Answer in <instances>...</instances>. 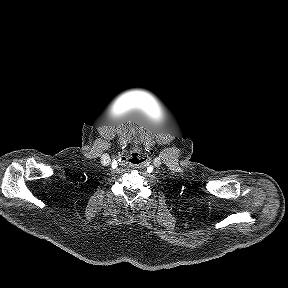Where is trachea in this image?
Here are the masks:
<instances>
[{
  "label": "trachea",
  "mask_w": 288,
  "mask_h": 288,
  "mask_svg": "<svg viewBox=\"0 0 288 288\" xmlns=\"http://www.w3.org/2000/svg\"><path fill=\"white\" fill-rule=\"evenodd\" d=\"M128 162L132 165H139L143 162V156L142 153L138 150L132 151L128 155Z\"/></svg>",
  "instance_id": "obj_1"
}]
</instances>
